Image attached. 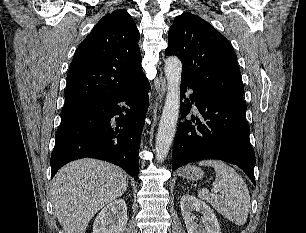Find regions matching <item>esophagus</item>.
I'll use <instances>...</instances> for the list:
<instances>
[{
    "label": "esophagus",
    "mask_w": 306,
    "mask_h": 233,
    "mask_svg": "<svg viewBox=\"0 0 306 233\" xmlns=\"http://www.w3.org/2000/svg\"><path fill=\"white\" fill-rule=\"evenodd\" d=\"M158 82H159V97H160V99H162L165 92H166V88H167L166 79L161 76L159 78Z\"/></svg>",
    "instance_id": "1"
}]
</instances>
